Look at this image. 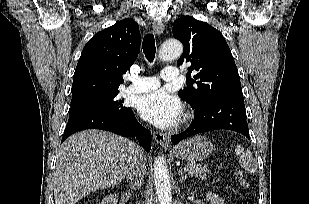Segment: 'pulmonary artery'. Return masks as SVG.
Masks as SVG:
<instances>
[{"instance_id":"pulmonary-artery-1","label":"pulmonary artery","mask_w":309,"mask_h":204,"mask_svg":"<svg viewBox=\"0 0 309 204\" xmlns=\"http://www.w3.org/2000/svg\"><path fill=\"white\" fill-rule=\"evenodd\" d=\"M180 76V72L175 67H169L162 72V79L164 81H174ZM160 86L159 79L155 77H138L133 80L132 85L127 87L128 93H144L154 90Z\"/></svg>"}]
</instances>
